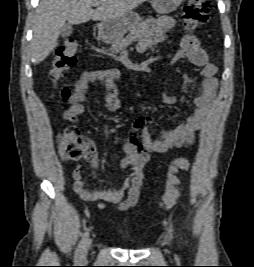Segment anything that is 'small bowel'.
<instances>
[{
    "instance_id": "obj_1",
    "label": "small bowel",
    "mask_w": 254,
    "mask_h": 267,
    "mask_svg": "<svg viewBox=\"0 0 254 267\" xmlns=\"http://www.w3.org/2000/svg\"><path fill=\"white\" fill-rule=\"evenodd\" d=\"M174 25L175 20L171 16L165 15L153 20L150 32L139 44L138 49L145 51L149 46L158 44L163 40L164 33L172 29ZM183 58H188L191 63L201 68V80L196 84L198 94L193 100L191 115L172 129L161 130L155 137L152 136L153 118L150 116L137 118L131 137L123 145L124 157L120 163L121 169L131 170L130 176L119 183L115 189L88 190L85 187L83 173L77 167L73 172L74 191L82 200L96 203L99 208H104L108 203L119 204L122 210L135 206L140 196L143 168L149 159L148 153H166L174 148L191 146L194 143L195 133L201 129L215 98L217 67L208 61V55L201 47L198 38L193 35L183 37L180 48L173 55L171 62L174 63ZM119 76L120 72L116 68L83 73L69 98V108L65 111L64 118L71 120L85 111L89 86L95 82H101L105 87L104 105L107 111L113 113L119 110L121 102L115 84ZM175 101L174 94L164 93L163 102L165 104H173ZM90 162L95 167L98 165L99 159L96 157Z\"/></svg>"
}]
</instances>
